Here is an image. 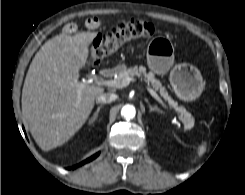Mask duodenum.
Returning <instances> with one entry per match:
<instances>
[{
	"label": "duodenum",
	"mask_w": 245,
	"mask_h": 195,
	"mask_svg": "<svg viewBox=\"0 0 245 195\" xmlns=\"http://www.w3.org/2000/svg\"><path fill=\"white\" fill-rule=\"evenodd\" d=\"M114 74V70L112 68H107L103 70L104 77H111Z\"/></svg>",
	"instance_id": "410a0bca"
}]
</instances>
